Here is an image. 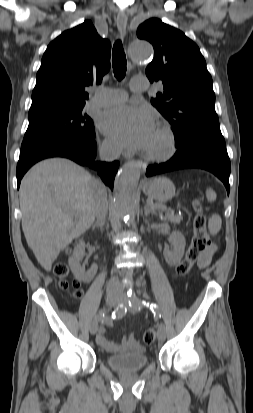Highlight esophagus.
Here are the masks:
<instances>
[{"label":"esophagus","instance_id":"1","mask_svg":"<svg viewBox=\"0 0 253 413\" xmlns=\"http://www.w3.org/2000/svg\"><path fill=\"white\" fill-rule=\"evenodd\" d=\"M116 22H117V26H118V28H119V30H120V32H121V35H122L123 37H125V36H126V33H127V16H126V14H125V13H119V14L117 15ZM139 165H140V170H141L142 172H143V171L146 169V167H147V163L142 162V161H139Z\"/></svg>","mask_w":253,"mask_h":413}]
</instances>
